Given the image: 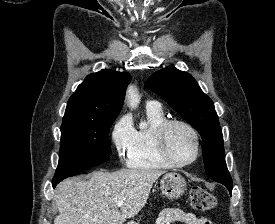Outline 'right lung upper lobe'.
<instances>
[{"mask_svg": "<svg viewBox=\"0 0 275 224\" xmlns=\"http://www.w3.org/2000/svg\"><path fill=\"white\" fill-rule=\"evenodd\" d=\"M130 74L104 69L88 75L68 100L63 124L116 118Z\"/></svg>", "mask_w": 275, "mask_h": 224, "instance_id": "right-lung-upper-lobe-1", "label": "right lung upper lobe"}]
</instances>
